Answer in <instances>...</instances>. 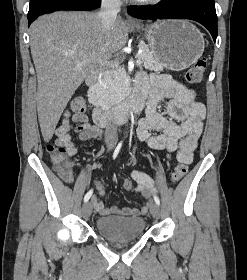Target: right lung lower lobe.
I'll return each instance as SVG.
<instances>
[{"mask_svg":"<svg viewBox=\"0 0 247 280\" xmlns=\"http://www.w3.org/2000/svg\"><path fill=\"white\" fill-rule=\"evenodd\" d=\"M101 0H40L36 5L29 7V25L38 16L59 10H91L99 7Z\"/></svg>","mask_w":247,"mask_h":280,"instance_id":"obj_1","label":"right lung lower lobe"}]
</instances>
